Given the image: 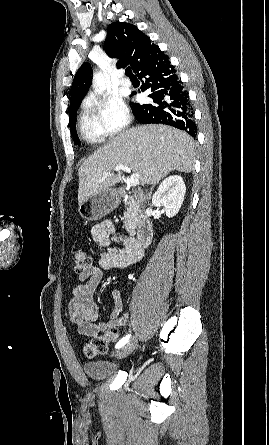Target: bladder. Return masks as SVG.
<instances>
[{
	"label": "bladder",
	"mask_w": 269,
	"mask_h": 445,
	"mask_svg": "<svg viewBox=\"0 0 269 445\" xmlns=\"http://www.w3.org/2000/svg\"><path fill=\"white\" fill-rule=\"evenodd\" d=\"M83 370L90 379L102 380L110 377L116 371V366L104 360L87 361L83 364Z\"/></svg>",
	"instance_id": "obj_1"
}]
</instances>
